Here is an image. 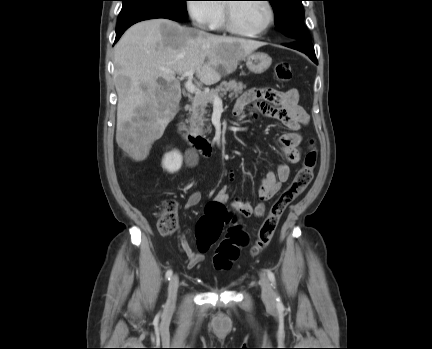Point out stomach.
<instances>
[{"instance_id": "stomach-1", "label": "stomach", "mask_w": 432, "mask_h": 349, "mask_svg": "<svg viewBox=\"0 0 432 349\" xmlns=\"http://www.w3.org/2000/svg\"><path fill=\"white\" fill-rule=\"evenodd\" d=\"M272 58L264 52H254L246 57V66L252 73L261 74L271 65Z\"/></svg>"}]
</instances>
